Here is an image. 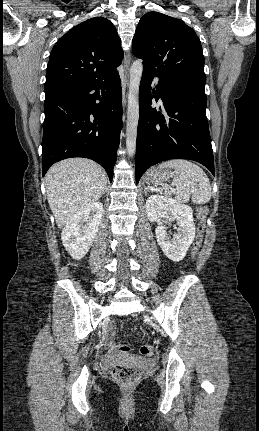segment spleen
Listing matches in <instances>:
<instances>
[{
	"label": "spleen",
	"instance_id": "1",
	"mask_svg": "<svg viewBox=\"0 0 259 431\" xmlns=\"http://www.w3.org/2000/svg\"><path fill=\"white\" fill-rule=\"evenodd\" d=\"M159 167L174 168L172 186H175V199L179 202H192L203 205L211 198V185L204 170L197 164L183 159H174L162 163ZM171 194L172 192H168Z\"/></svg>",
	"mask_w": 259,
	"mask_h": 431
}]
</instances>
